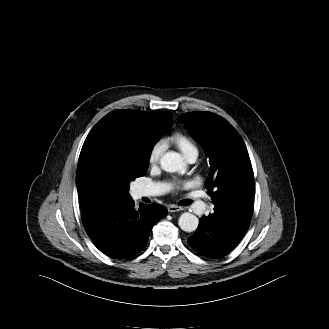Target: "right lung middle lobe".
<instances>
[{"label":"right lung middle lobe","instance_id":"dd1d6c3e","mask_svg":"<svg viewBox=\"0 0 329 329\" xmlns=\"http://www.w3.org/2000/svg\"><path fill=\"white\" fill-rule=\"evenodd\" d=\"M168 124H158L145 135L117 132L99 151L78 163L76 184L81 205L130 198L129 182L146 174L152 148Z\"/></svg>","mask_w":329,"mask_h":329}]
</instances>
